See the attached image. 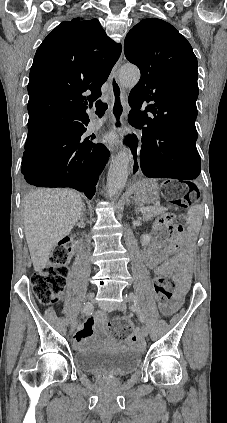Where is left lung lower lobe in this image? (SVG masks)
Here are the masks:
<instances>
[{
  "mask_svg": "<svg viewBox=\"0 0 227 423\" xmlns=\"http://www.w3.org/2000/svg\"><path fill=\"white\" fill-rule=\"evenodd\" d=\"M131 110L129 122L142 129L141 170L150 178L193 180L200 174L196 117L181 113ZM187 183V182H186Z\"/></svg>",
  "mask_w": 227,
  "mask_h": 423,
  "instance_id": "1",
  "label": "left lung lower lobe"
}]
</instances>
